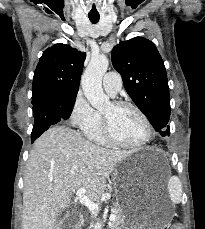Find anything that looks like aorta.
I'll return each mask as SVG.
<instances>
[{
	"instance_id": "1",
	"label": "aorta",
	"mask_w": 205,
	"mask_h": 229,
	"mask_svg": "<svg viewBox=\"0 0 205 229\" xmlns=\"http://www.w3.org/2000/svg\"><path fill=\"white\" fill-rule=\"evenodd\" d=\"M109 66L106 56H93L88 64L81 80L82 90L85 97L96 109H100L109 104V97L102 88V78ZM94 229H102V223L97 222Z\"/></svg>"
}]
</instances>
